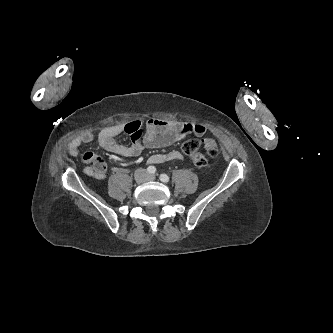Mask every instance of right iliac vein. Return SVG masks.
<instances>
[{
	"mask_svg": "<svg viewBox=\"0 0 333 333\" xmlns=\"http://www.w3.org/2000/svg\"><path fill=\"white\" fill-rule=\"evenodd\" d=\"M137 179H138V180H142V174H139V175L137 176Z\"/></svg>",
	"mask_w": 333,
	"mask_h": 333,
	"instance_id": "right-iliac-vein-1",
	"label": "right iliac vein"
}]
</instances>
